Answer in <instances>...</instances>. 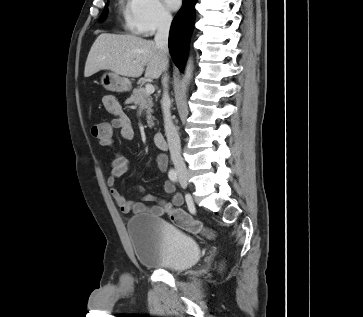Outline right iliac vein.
Masks as SVG:
<instances>
[{
	"label": "right iliac vein",
	"instance_id": "obj_1",
	"mask_svg": "<svg viewBox=\"0 0 363 317\" xmlns=\"http://www.w3.org/2000/svg\"><path fill=\"white\" fill-rule=\"evenodd\" d=\"M180 178H181L184 182H186V183H187V181H188V176H187V175L183 174V175H181V176H180Z\"/></svg>",
	"mask_w": 363,
	"mask_h": 317
}]
</instances>
